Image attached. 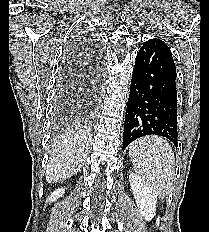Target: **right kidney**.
<instances>
[{"label": "right kidney", "instance_id": "obj_1", "mask_svg": "<svg viewBox=\"0 0 209 232\" xmlns=\"http://www.w3.org/2000/svg\"><path fill=\"white\" fill-rule=\"evenodd\" d=\"M65 193V188H58L55 191H53V193H51V195L46 199V203L47 202H54L56 201L58 198L62 197L63 194Z\"/></svg>", "mask_w": 209, "mask_h": 232}]
</instances>
